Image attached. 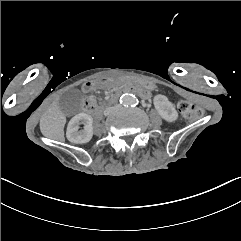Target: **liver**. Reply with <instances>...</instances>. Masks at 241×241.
Wrapping results in <instances>:
<instances>
[{"mask_svg": "<svg viewBox=\"0 0 241 241\" xmlns=\"http://www.w3.org/2000/svg\"><path fill=\"white\" fill-rule=\"evenodd\" d=\"M65 123L66 117L64 113L58 105L52 104L40 119L41 133L47 138L64 142Z\"/></svg>", "mask_w": 241, "mask_h": 241, "instance_id": "obj_1", "label": "liver"}]
</instances>
